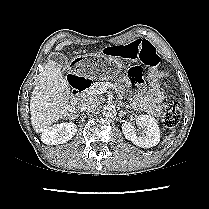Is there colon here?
Wrapping results in <instances>:
<instances>
[{
    "instance_id": "obj_1",
    "label": "colon",
    "mask_w": 209,
    "mask_h": 209,
    "mask_svg": "<svg viewBox=\"0 0 209 209\" xmlns=\"http://www.w3.org/2000/svg\"><path fill=\"white\" fill-rule=\"evenodd\" d=\"M104 55H118L125 59L139 60L143 64L156 69L160 64V57L155 46L148 40H136L125 46L102 48ZM139 67V66H138ZM162 73L158 70L154 72V77L161 76ZM181 119V108L175 101L166 103L163 112V122L168 127L176 126Z\"/></svg>"
}]
</instances>
